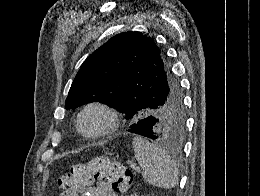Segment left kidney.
I'll return each instance as SVG.
<instances>
[{"instance_id":"obj_1","label":"left kidney","mask_w":260,"mask_h":196,"mask_svg":"<svg viewBox=\"0 0 260 196\" xmlns=\"http://www.w3.org/2000/svg\"><path fill=\"white\" fill-rule=\"evenodd\" d=\"M132 196H136V194H132Z\"/></svg>"}]
</instances>
